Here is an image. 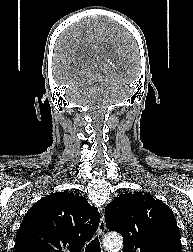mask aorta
<instances>
[{"instance_id":"762f6f07","label":"aorta","mask_w":193,"mask_h":252,"mask_svg":"<svg viewBox=\"0 0 193 252\" xmlns=\"http://www.w3.org/2000/svg\"><path fill=\"white\" fill-rule=\"evenodd\" d=\"M104 246L110 250V252H118L123 245V238L121 235L112 233L105 236Z\"/></svg>"}]
</instances>
